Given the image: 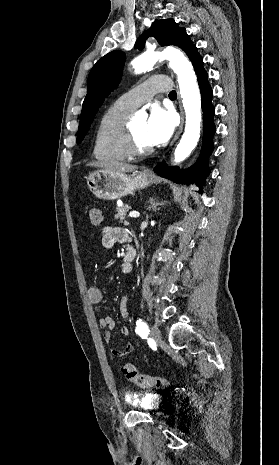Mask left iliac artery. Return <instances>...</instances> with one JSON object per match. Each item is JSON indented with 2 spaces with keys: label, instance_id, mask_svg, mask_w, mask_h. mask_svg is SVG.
Segmentation results:
<instances>
[{
  "label": "left iliac artery",
  "instance_id": "obj_1",
  "mask_svg": "<svg viewBox=\"0 0 279 465\" xmlns=\"http://www.w3.org/2000/svg\"><path fill=\"white\" fill-rule=\"evenodd\" d=\"M136 333L139 334V336L143 339L147 338L149 334V329L146 322L142 321L141 319H138L136 321Z\"/></svg>",
  "mask_w": 279,
  "mask_h": 465
}]
</instances>
